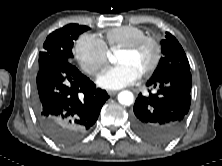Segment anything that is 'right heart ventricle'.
Masks as SVG:
<instances>
[{
  "label": "right heart ventricle",
  "instance_id": "obj_1",
  "mask_svg": "<svg viewBox=\"0 0 222 166\" xmlns=\"http://www.w3.org/2000/svg\"><path fill=\"white\" fill-rule=\"evenodd\" d=\"M145 35V31L139 27L124 25L107 30L104 34V43L107 48L113 50L121 48Z\"/></svg>",
  "mask_w": 222,
  "mask_h": 166
}]
</instances>
